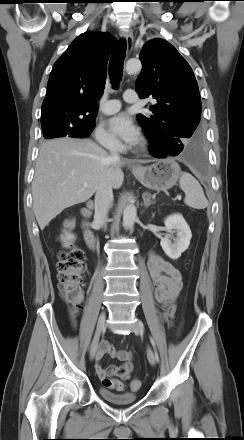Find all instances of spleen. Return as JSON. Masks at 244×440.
I'll return each instance as SVG.
<instances>
[{
	"label": "spleen",
	"instance_id": "obj_1",
	"mask_svg": "<svg viewBox=\"0 0 244 440\" xmlns=\"http://www.w3.org/2000/svg\"><path fill=\"white\" fill-rule=\"evenodd\" d=\"M179 186L185 193L184 203L194 209H204L208 200L199 182L189 173H181Z\"/></svg>",
	"mask_w": 244,
	"mask_h": 440
}]
</instances>
